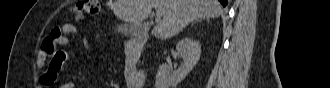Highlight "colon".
I'll list each match as a JSON object with an SVG mask.
<instances>
[{"instance_id": "colon-1", "label": "colon", "mask_w": 330, "mask_h": 88, "mask_svg": "<svg viewBox=\"0 0 330 88\" xmlns=\"http://www.w3.org/2000/svg\"><path fill=\"white\" fill-rule=\"evenodd\" d=\"M97 13H98V1H95V0H84L80 3H78L73 8V14H74L76 22L81 21L82 19H84L85 16L93 17ZM62 34L63 33L61 31V27L56 28L52 31L51 35L43 41V47L45 50L48 51V53H52L54 51V47H55L54 41L56 38L60 37ZM58 54H59V52H57L54 55V58L52 60L53 67L56 66L55 57Z\"/></svg>"}]
</instances>
